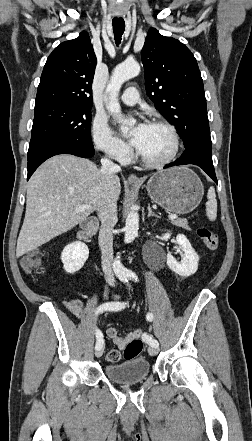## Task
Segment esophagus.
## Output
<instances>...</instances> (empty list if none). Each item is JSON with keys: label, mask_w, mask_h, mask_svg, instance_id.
I'll use <instances>...</instances> for the list:
<instances>
[{"label": "esophagus", "mask_w": 252, "mask_h": 441, "mask_svg": "<svg viewBox=\"0 0 252 441\" xmlns=\"http://www.w3.org/2000/svg\"><path fill=\"white\" fill-rule=\"evenodd\" d=\"M128 181L132 183H139L140 180L135 174H130L128 177Z\"/></svg>", "instance_id": "esophagus-1"}]
</instances>
